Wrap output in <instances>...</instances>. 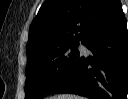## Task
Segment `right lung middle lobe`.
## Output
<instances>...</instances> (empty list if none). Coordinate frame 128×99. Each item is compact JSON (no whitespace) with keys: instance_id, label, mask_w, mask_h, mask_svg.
<instances>
[{"instance_id":"1","label":"right lung middle lobe","mask_w":128,"mask_h":99,"mask_svg":"<svg viewBox=\"0 0 128 99\" xmlns=\"http://www.w3.org/2000/svg\"><path fill=\"white\" fill-rule=\"evenodd\" d=\"M79 42L27 58L25 99H36L67 78L81 57Z\"/></svg>"}]
</instances>
